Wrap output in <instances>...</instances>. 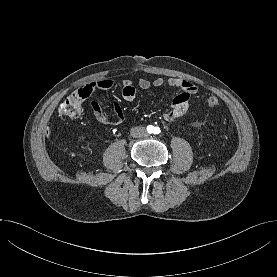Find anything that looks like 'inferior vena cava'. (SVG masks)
<instances>
[{
    "instance_id": "inferior-vena-cava-1",
    "label": "inferior vena cava",
    "mask_w": 277,
    "mask_h": 277,
    "mask_svg": "<svg viewBox=\"0 0 277 277\" xmlns=\"http://www.w3.org/2000/svg\"><path fill=\"white\" fill-rule=\"evenodd\" d=\"M131 135L135 138L146 136V130L143 127L131 129Z\"/></svg>"
}]
</instances>
